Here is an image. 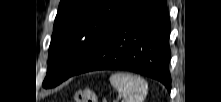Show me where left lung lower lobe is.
<instances>
[{
    "mask_svg": "<svg viewBox=\"0 0 221 102\" xmlns=\"http://www.w3.org/2000/svg\"><path fill=\"white\" fill-rule=\"evenodd\" d=\"M170 32L165 0H134L73 75L128 70L160 81L170 92Z\"/></svg>",
    "mask_w": 221,
    "mask_h": 102,
    "instance_id": "left-lung-lower-lobe-1",
    "label": "left lung lower lobe"
}]
</instances>
